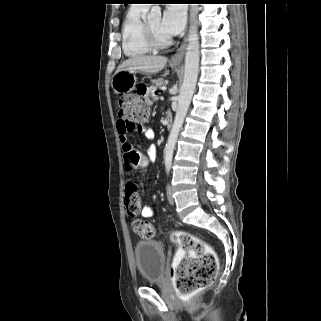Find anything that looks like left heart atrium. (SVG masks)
Listing matches in <instances>:
<instances>
[{"instance_id":"1","label":"left heart atrium","mask_w":321,"mask_h":321,"mask_svg":"<svg viewBox=\"0 0 321 321\" xmlns=\"http://www.w3.org/2000/svg\"><path fill=\"white\" fill-rule=\"evenodd\" d=\"M186 22V10L183 5L169 4L160 20V28L168 36L179 34Z\"/></svg>"}]
</instances>
